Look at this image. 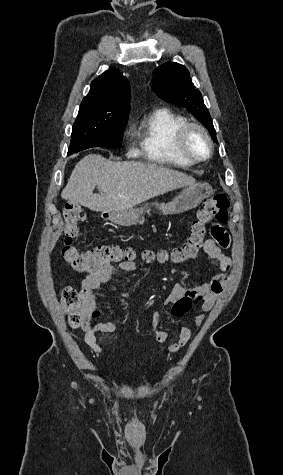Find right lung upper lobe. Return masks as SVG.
Segmentation results:
<instances>
[{"mask_svg":"<svg viewBox=\"0 0 283 475\" xmlns=\"http://www.w3.org/2000/svg\"><path fill=\"white\" fill-rule=\"evenodd\" d=\"M130 86L116 68H110L91 83L90 92L81 104L123 106L129 105Z\"/></svg>","mask_w":283,"mask_h":475,"instance_id":"1","label":"right lung upper lobe"}]
</instances>
